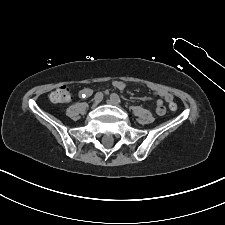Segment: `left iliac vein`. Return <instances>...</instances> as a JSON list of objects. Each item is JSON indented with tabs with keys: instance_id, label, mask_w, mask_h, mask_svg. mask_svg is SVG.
Wrapping results in <instances>:
<instances>
[{
	"instance_id": "1",
	"label": "left iliac vein",
	"mask_w": 225,
	"mask_h": 225,
	"mask_svg": "<svg viewBox=\"0 0 225 225\" xmlns=\"http://www.w3.org/2000/svg\"><path fill=\"white\" fill-rule=\"evenodd\" d=\"M106 102L111 105L119 106V103L113 100L112 98L106 100Z\"/></svg>"
}]
</instances>
